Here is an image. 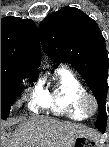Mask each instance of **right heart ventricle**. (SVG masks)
<instances>
[{
  "label": "right heart ventricle",
  "instance_id": "right-heart-ventricle-1",
  "mask_svg": "<svg viewBox=\"0 0 109 147\" xmlns=\"http://www.w3.org/2000/svg\"><path fill=\"white\" fill-rule=\"evenodd\" d=\"M86 92L80 80L67 68H59L49 87L41 88V98L31 103L33 109H50L57 115L84 120L88 115L80 108V96Z\"/></svg>",
  "mask_w": 109,
  "mask_h": 147
}]
</instances>
